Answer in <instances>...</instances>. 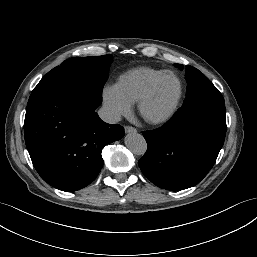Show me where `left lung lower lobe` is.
<instances>
[{
    "instance_id": "obj_1",
    "label": "left lung lower lobe",
    "mask_w": 257,
    "mask_h": 257,
    "mask_svg": "<svg viewBox=\"0 0 257 257\" xmlns=\"http://www.w3.org/2000/svg\"><path fill=\"white\" fill-rule=\"evenodd\" d=\"M225 102L180 108L161 128L142 132L147 151L138 164L155 185L182 190L196 185L213 167L226 134Z\"/></svg>"
}]
</instances>
